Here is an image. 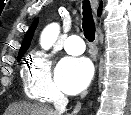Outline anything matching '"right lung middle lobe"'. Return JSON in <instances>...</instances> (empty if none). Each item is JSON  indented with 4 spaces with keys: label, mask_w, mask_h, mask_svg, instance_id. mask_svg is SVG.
Wrapping results in <instances>:
<instances>
[{
    "label": "right lung middle lobe",
    "mask_w": 131,
    "mask_h": 115,
    "mask_svg": "<svg viewBox=\"0 0 131 115\" xmlns=\"http://www.w3.org/2000/svg\"><path fill=\"white\" fill-rule=\"evenodd\" d=\"M23 54L18 56V61H20V59L22 58Z\"/></svg>",
    "instance_id": "obj_1"
}]
</instances>
